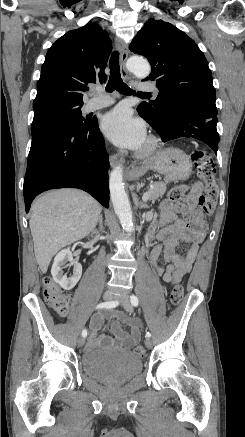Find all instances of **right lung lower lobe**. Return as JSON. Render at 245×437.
<instances>
[{
  "label": "right lung lower lobe",
  "instance_id": "right-lung-lower-lobe-1",
  "mask_svg": "<svg viewBox=\"0 0 245 437\" xmlns=\"http://www.w3.org/2000/svg\"><path fill=\"white\" fill-rule=\"evenodd\" d=\"M109 158L96 119L86 127L52 123L32 135L23 194L26 212L40 193L78 188L109 207Z\"/></svg>",
  "mask_w": 245,
  "mask_h": 437
}]
</instances>
